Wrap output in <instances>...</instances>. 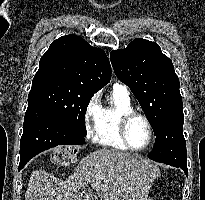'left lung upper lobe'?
<instances>
[{
    "label": "left lung upper lobe",
    "mask_w": 205,
    "mask_h": 200,
    "mask_svg": "<svg viewBox=\"0 0 205 200\" xmlns=\"http://www.w3.org/2000/svg\"><path fill=\"white\" fill-rule=\"evenodd\" d=\"M110 60L118 79L138 99L156 136L164 120L183 107L172 61L157 43L141 38L111 51Z\"/></svg>",
    "instance_id": "1"
}]
</instances>
